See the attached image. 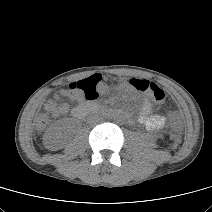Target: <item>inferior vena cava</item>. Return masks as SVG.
<instances>
[{
	"mask_svg": "<svg viewBox=\"0 0 212 212\" xmlns=\"http://www.w3.org/2000/svg\"><path fill=\"white\" fill-rule=\"evenodd\" d=\"M96 119H97V117H95V116H89V117L87 118V122H88V123H93V122L96 121Z\"/></svg>",
	"mask_w": 212,
	"mask_h": 212,
	"instance_id": "obj_1",
	"label": "inferior vena cava"
}]
</instances>
